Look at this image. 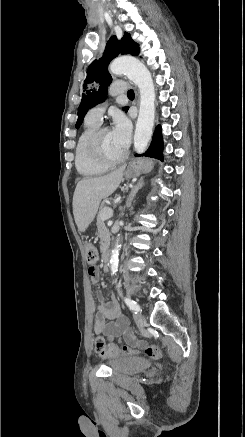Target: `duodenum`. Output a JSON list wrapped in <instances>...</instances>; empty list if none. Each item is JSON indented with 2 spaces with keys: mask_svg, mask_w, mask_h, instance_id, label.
Returning <instances> with one entry per match:
<instances>
[{
  "mask_svg": "<svg viewBox=\"0 0 245 437\" xmlns=\"http://www.w3.org/2000/svg\"><path fill=\"white\" fill-rule=\"evenodd\" d=\"M101 255L104 262V271L107 272L109 270V257H110V251L107 246L103 247Z\"/></svg>",
  "mask_w": 245,
  "mask_h": 437,
  "instance_id": "obj_1",
  "label": "duodenum"
}]
</instances>
